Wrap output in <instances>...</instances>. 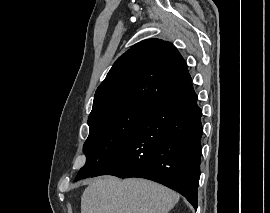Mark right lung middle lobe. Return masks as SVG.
<instances>
[{"instance_id":"obj_1","label":"right lung middle lobe","mask_w":270,"mask_h":213,"mask_svg":"<svg viewBox=\"0 0 270 213\" xmlns=\"http://www.w3.org/2000/svg\"><path fill=\"white\" fill-rule=\"evenodd\" d=\"M156 103L136 100L88 119L89 136L83 146L86 164L74 181L91 177L129 140Z\"/></svg>"}]
</instances>
